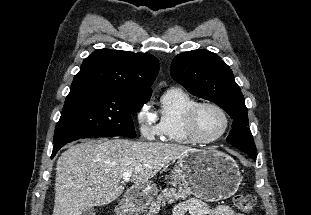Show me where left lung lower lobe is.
Returning <instances> with one entry per match:
<instances>
[{
  "label": "left lung lower lobe",
  "instance_id": "left-lung-lower-lobe-1",
  "mask_svg": "<svg viewBox=\"0 0 311 215\" xmlns=\"http://www.w3.org/2000/svg\"><path fill=\"white\" fill-rule=\"evenodd\" d=\"M251 157V156H250ZM254 160H256V156L252 157Z\"/></svg>",
  "mask_w": 311,
  "mask_h": 215
}]
</instances>
